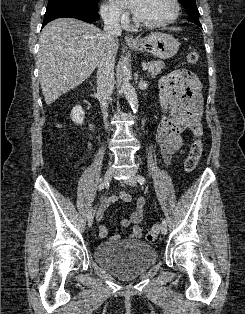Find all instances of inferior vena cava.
Returning a JSON list of instances; mask_svg holds the SVG:
<instances>
[{
	"mask_svg": "<svg viewBox=\"0 0 245 314\" xmlns=\"http://www.w3.org/2000/svg\"><path fill=\"white\" fill-rule=\"evenodd\" d=\"M104 31L110 42H113L121 35L120 12L109 11L104 14ZM114 64L115 59L111 53L105 56L98 65L97 71V94L99 96L105 127L108 128L106 121L108 99L114 88Z\"/></svg>",
	"mask_w": 245,
	"mask_h": 314,
	"instance_id": "1",
	"label": "inferior vena cava"
}]
</instances>
